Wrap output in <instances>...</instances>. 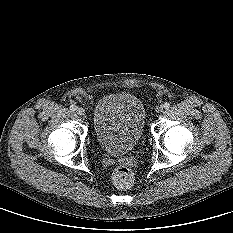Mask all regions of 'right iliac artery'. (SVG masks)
I'll return each instance as SVG.
<instances>
[{"label":"right iliac artery","instance_id":"82829eb1","mask_svg":"<svg viewBox=\"0 0 233 233\" xmlns=\"http://www.w3.org/2000/svg\"><path fill=\"white\" fill-rule=\"evenodd\" d=\"M76 109H77V106H76V105L72 104V105L70 106V110H71V111H75Z\"/></svg>","mask_w":233,"mask_h":233}]
</instances>
